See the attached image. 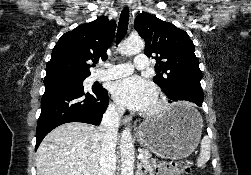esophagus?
I'll use <instances>...</instances> for the list:
<instances>
[{"mask_svg": "<svg viewBox=\"0 0 251 175\" xmlns=\"http://www.w3.org/2000/svg\"><path fill=\"white\" fill-rule=\"evenodd\" d=\"M122 120H123V123H124V124H127V123L130 122L131 118L128 117V116H124Z\"/></svg>", "mask_w": 251, "mask_h": 175, "instance_id": "esophagus-1", "label": "esophagus"}]
</instances>
